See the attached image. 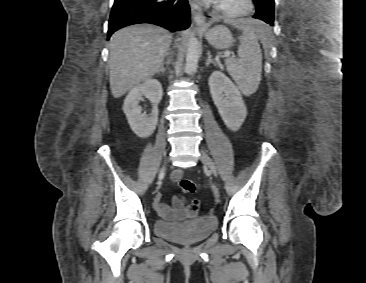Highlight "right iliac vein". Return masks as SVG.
Wrapping results in <instances>:
<instances>
[{
	"label": "right iliac vein",
	"mask_w": 366,
	"mask_h": 283,
	"mask_svg": "<svg viewBox=\"0 0 366 283\" xmlns=\"http://www.w3.org/2000/svg\"><path fill=\"white\" fill-rule=\"evenodd\" d=\"M164 172V167L161 169L160 173H163Z\"/></svg>",
	"instance_id": "right-iliac-vein-1"
}]
</instances>
